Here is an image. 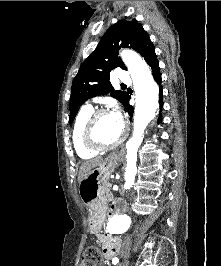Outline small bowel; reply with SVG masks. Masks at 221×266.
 Listing matches in <instances>:
<instances>
[{
    "label": "small bowel",
    "instance_id": "1",
    "mask_svg": "<svg viewBox=\"0 0 221 266\" xmlns=\"http://www.w3.org/2000/svg\"><path fill=\"white\" fill-rule=\"evenodd\" d=\"M97 242L102 248V253L105 259L114 258L120 250L121 240L107 233L97 234Z\"/></svg>",
    "mask_w": 221,
    "mask_h": 266
}]
</instances>
